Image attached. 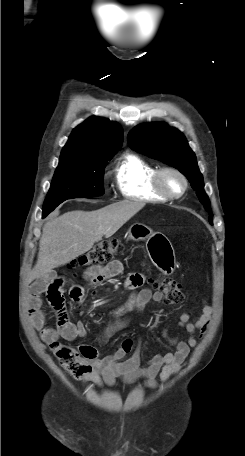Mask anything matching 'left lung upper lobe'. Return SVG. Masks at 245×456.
Here are the masks:
<instances>
[{
	"instance_id": "5c2ea615",
	"label": "left lung upper lobe",
	"mask_w": 245,
	"mask_h": 456,
	"mask_svg": "<svg viewBox=\"0 0 245 456\" xmlns=\"http://www.w3.org/2000/svg\"><path fill=\"white\" fill-rule=\"evenodd\" d=\"M128 145L135 151L177 168L189 180L200 202L211 214L210 202L204 192L203 177L199 171L195 154L188 146L184 135L165 124H145L132 129L128 134ZM212 216L209 222L212 224Z\"/></svg>"
}]
</instances>
